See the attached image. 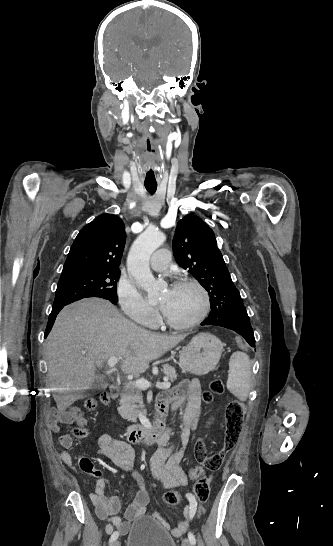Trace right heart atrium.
<instances>
[{"label": "right heart atrium", "mask_w": 333, "mask_h": 546, "mask_svg": "<svg viewBox=\"0 0 333 546\" xmlns=\"http://www.w3.org/2000/svg\"><path fill=\"white\" fill-rule=\"evenodd\" d=\"M117 297L122 311L134 322L142 325H153L156 322L157 316L154 309L130 281L119 280Z\"/></svg>", "instance_id": "obj_1"}]
</instances>
